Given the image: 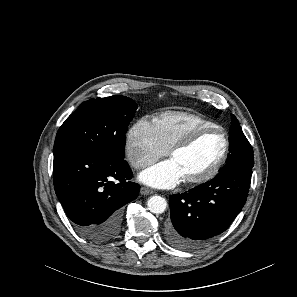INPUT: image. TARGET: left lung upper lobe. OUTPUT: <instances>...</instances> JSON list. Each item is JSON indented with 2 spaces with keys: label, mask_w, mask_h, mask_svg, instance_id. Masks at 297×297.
Instances as JSON below:
<instances>
[{
  "label": "left lung upper lobe",
  "mask_w": 297,
  "mask_h": 297,
  "mask_svg": "<svg viewBox=\"0 0 297 297\" xmlns=\"http://www.w3.org/2000/svg\"><path fill=\"white\" fill-rule=\"evenodd\" d=\"M229 142L231 154L221 171H245L252 169L254 165L253 149L234 115H232Z\"/></svg>",
  "instance_id": "left-lung-upper-lobe-1"
}]
</instances>
